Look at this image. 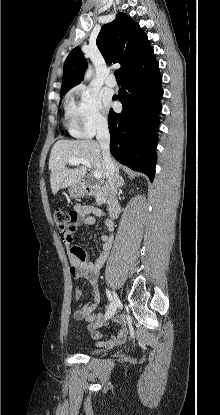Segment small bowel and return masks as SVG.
Segmentation results:
<instances>
[{
  "mask_svg": "<svg viewBox=\"0 0 220 415\" xmlns=\"http://www.w3.org/2000/svg\"><path fill=\"white\" fill-rule=\"evenodd\" d=\"M72 214L75 215V220L70 224L69 230L60 233V237L68 249V256L71 263L70 272L74 279H84L92 287V300L87 304L78 306L74 312L73 317L79 321L88 322V330L94 339L100 340L105 337L104 333L98 330L100 315L95 314V310L100 302V292L98 288L99 271L106 261L113 244V229L114 224L111 220L106 219L105 226L107 232L100 237L101 250L100 254L95 260H91L90 253L85 249L72 245L73 236L79 225H94L96 218H103L106 216L102 209L92 205H76ZM82 290L75 288L73 291V298L79 300L82 297ZM114 323L118 325L119 330L111 334L107 339L97 342V346L111 348L125 342L127 337V326L122 316H116Z\"/></svg>",
  "mask_w": 220,
  "mask_h": 415,
  "instance_id": "1",
  "label": "small bowel"
}]
</instances>
